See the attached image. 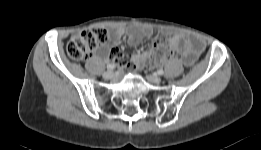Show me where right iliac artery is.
<instances>
[{
    "label": "right iliac artery",
    "mask_w": 261,
    "mask_h": 150,
    "mask_svg": "<svg viewBox=\"0 0 261 150\" xmlns=\"http://www.w3.org/2000/svg\"><path fill=\"white\" fill-rule=\"evenodd\" d=\"M115 68V65L114 64H108L107 65V69L108 70H113Z\"/></svg>",
    "instance_id": "right-iliac-artery-1"
}]
</instances>
